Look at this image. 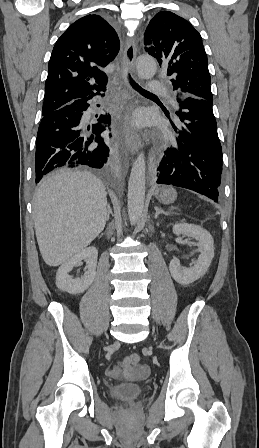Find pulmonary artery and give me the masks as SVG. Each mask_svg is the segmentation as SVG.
<instances>
[{
    "label": "pulmonary artery",
    "instance_id": "1",
    "mask_svg": "<svg viewBox=\"0 0 259 448\" xmlns=\"http://www.w3.org/2000/svg\"><path fill=\"white\" fill-rule=\"evenodd\" d=\"M166 99H167V100H168L169 102H174V99H173V97H172V96H170V95H169V96H167V97H166Z\"/></svg>",
    "mask_w": 259,
    "mask_h": 448
}]
</instances>
